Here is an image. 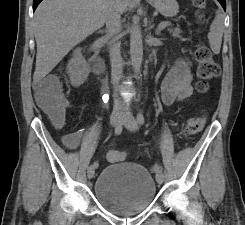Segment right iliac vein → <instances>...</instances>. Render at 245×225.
<instances>
[{
    "instance_id": "right-iliac-vein-1",
    "label": "right iliac vein",
    "mask_w": 245,
    "mask_h": 225,
    "mask_svg": "<svg viewBox=\"0 0 245 225\" xmlns=\"http://www.w3.org/2000/svg\"><path fill=\"white\" fill-rule=\"evenodd\" d=\"M122 120L121 111H114L110 117V123L112 126H117ZM95 174V168L93 166H89L87 169V176L89 179H92Z\"/></svg>"
}]
</instances>
